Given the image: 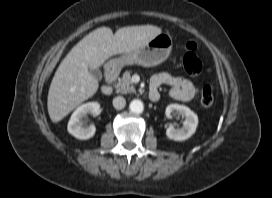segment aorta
I'll return each mask as SVG.
<instances>
[{
  "instance_id": "obj_1",
  "label": "aorta",
  "mask_w": 272,
  "mask_h": 198,
  "mask_svg": "<svg viewBox=\"0 0 272 198\" xmlns=\"http://www.w3.org/2000/svg\"><path fill=\"white\" fill-rule=\"evenodd\" d=\"M130 111L135 114H141L144 110V105L141 100L134 99L129 105Z\"/></svg>"
}]
</instances>
